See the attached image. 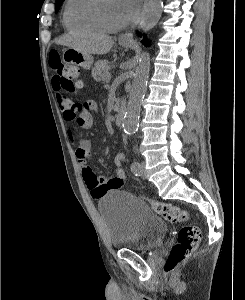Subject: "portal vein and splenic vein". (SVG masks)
<instances>
[{
	"instance_id": "1",
	"label": "portal vein and splenic vein",
	"mask_w": 245,
	"mask_h": 300,
	"mask_svg": "<svg viewBox=\"0 0 245 300\" xmlns=\"http://www.w3.org/2000/svg\"><path fill=\"white\" fill-rule=\"evenodd\" d=\"M108 79H111V74L110 73L108 74Z\"/></svg>"
}]
</instances>
